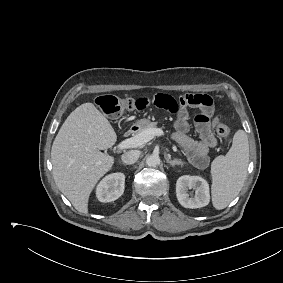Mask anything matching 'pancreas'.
<instances>
[{
	"instance_id": "1",
	"label": "pancreas",
	"mask_w": 283,
	"mask_h": 283,
	"mask_svg": "<svg viewBox=\"0 0 283 283\" xmlns=\"http://www.w3.org/2000/svg\"><path fill=\"white\" fill-rule=\"evenodd\" d=\"M157 123L156 122H149L144 128L140 129L137 134L143 132L146 129H150V128H156Z\"/></svg>"
}]
</instances>
